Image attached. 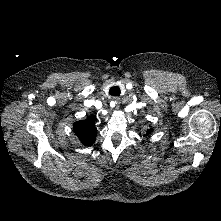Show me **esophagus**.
Segmentation results:
<instances>
[{
  "label": "esophagus",
  "instance_id": "34e87169",
  "mask_svg": "<svg viewBox=\"0 0 221 221\" xmlns=\"http://www.w3.org/2000/svg\"><path fill=\"white\" fill-rule=\"evenodd\" d=\"M113 100H114V103L116 104V106L118 107V105L121 102L120 98L119 97H114Z\"/></svg>",
  "mask_w": 221,
  "mask_h": 221
}]
</instances>
